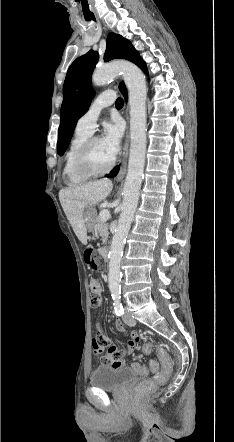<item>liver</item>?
<instances>
[{"instance_id":"6515ba94","label":"liver","mask_w":234,"mask_h":442,"mask_svg":"<svg viewBox=\"0 0 234 442\" xmlns=\"http://www.w3.org/2000/svg\"><path fill=\"white\" fill-rule=\"evenodd\" d=\"M109 179H101L84 185L60 190L59 200L73 231L80 242L87 244V231L84 225V211L103 201L112 191Z\"/></svg>"}]
</instances>
